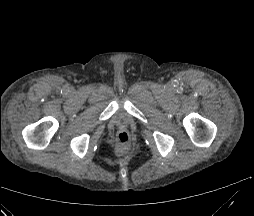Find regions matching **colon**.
I'll return each mask as SVG.
<instances>
[{"label": "colon", "instance_id": "colon-1", "mask_svg": "<svg viewBox=\"0 0 254 216\" xmlns=\"http://www.w3.org/2000/svg\"><path fill=\"white\" fill-rule=\"evenodd\" d=\"M116 145L119 148H128L131 145L130 136L125 132L119 133L116 138Z\"/></svg>", "mask_w": 254, "mask_h": 216}]
</instances>
